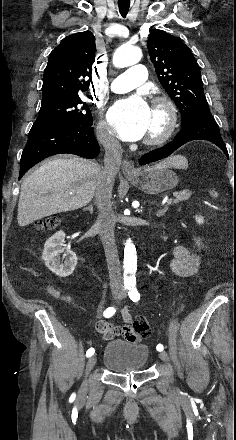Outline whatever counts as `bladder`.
Instances as JSON below:
<instances>
[{"mask_svg": "<svg viewBox=\"0 0 236 440\" xmlns=\"http://www.w3.org/2000/svg\"><path fill=\"white\" fill-rule=\"evenodd\" d=\"M149 357L146 344L112 339L105 346L102 363L116 373L142 372L148 365Z\"/></svg>", "mask_w": 236, "mask_h": 440, "instance_id": "obj_1", "label": "bladder"}]
</instances>
